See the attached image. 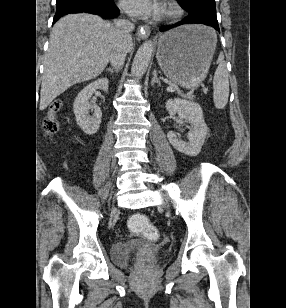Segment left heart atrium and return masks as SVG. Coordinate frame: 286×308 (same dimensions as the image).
Listing matches in <instances>:
<instances>
[{
	"mask_svg": "<svg viewBox=\"0 0 286 308\" xmlns=\"http://www.w3.org/2000/svg\"><path fill=\"white\" fill-rule=\"evenodd\" d=\"M121 6L135 17L156 16L161 12V6L156 0H121Z\"/></svg>",
	"mask_w": 286,
	"mask_h": 308,
	"instance_id": "obj_1",
	"label": "left heart atrium"
}]
</instances>
